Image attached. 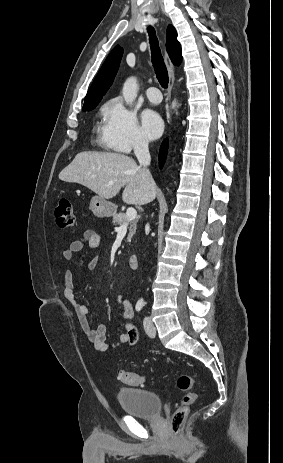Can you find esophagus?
<instances>
[{"label":"esophagus","instance_id":"1","mask_svg":"<svg viewBox=\"0 0 283 463\" xmlns=\"http://www.w3.org/2000/svg\"><path fill=\"white\" fill-rule=\"evenodd\" d=\"M164 57H165V63H166V66H167V69H168V75H169L168 95H169V97H171V92H172L174 82H175V67H174L173 63L171 62V60H170V58H169L166 51L164 53Z\"/></svg>","mask_w":283,"mask_h":463}]
</instances>
